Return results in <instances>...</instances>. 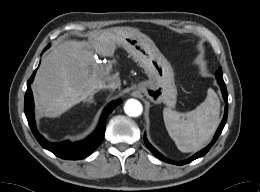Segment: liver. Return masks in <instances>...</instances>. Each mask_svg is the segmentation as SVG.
<instances>
[{"mask_svg":"<svg viewBox=\"0 0 260 192\" xmlns=\"http://www.w3.org/2000/svg\"><path fill=\"white\" fill-rule=\"evenodd\" d=\"M116 29L95 33L87 42H61L43 58L33 84L40 114L60 116L89 98L101 84L119 79L117 73L111 75V68L94 56V50L100 56L114 53Z\"/></svg>","mask_w":260,"mask_h":192,"instance_id":"liver-1","label":"liver"}]
</instances>
